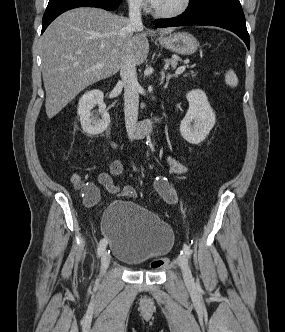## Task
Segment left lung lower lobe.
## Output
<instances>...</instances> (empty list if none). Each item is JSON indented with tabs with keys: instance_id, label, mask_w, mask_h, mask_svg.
<instances>
[{
	"instance_id": "1",
	"label": "left lung lower lobe",
	"mask_w": 285,
	"mask_h": 332,
	"mask_svg": "<svg viewBox=\"0 0 285 332\" xmlns=\"http://www.w3.org/2000/svg\"><path fill=\"white\" fill-rule=\"evenodd\" d=\"M159 28L185 25H212L225 28L237 34L250 48L245 16L239 0H217L194 9H188L179 17L156 20Z\"/></svg>"
}]
</instances>
